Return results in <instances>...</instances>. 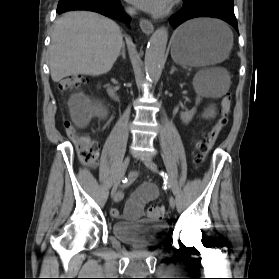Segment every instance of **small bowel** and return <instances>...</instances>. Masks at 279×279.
Returning <instances> with one entry per match:
<instances>
[{"instance_id": "1", "label": "small bowel", "mask_w": 279, "mask_h": 279, "mask_svg": "<svg viewBox=\"0 0 279 279\" xmlns=\"http://www.w3.org/2000/svg\"><path fill=\"white\" fill-rule=\"evenodd\" d=\"M69 106L73 120L81 126H85L92 117L96 116L105 119L107 116V112L101 103L92 101L81 93L71 97ZM215 114L216 108L214 106L208 107L204 112L206 118H212ZM134 179L135 173H132L129 180L131 182ZM157 195L158 190L154 184L144 183L132 193L126 202L124 213L117 208H113L111 214L115 218L137 219L142 216L144 205L154 200ZM118 198H120V195Z\"/></svg>"}]
</instances>
